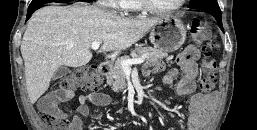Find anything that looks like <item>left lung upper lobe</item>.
I'll list each match as a JSON object with an SVG mask.
<instances>
[{"label":"left lung upper lobe","mask_w":257,"mask_h":130,"mask_svg":"<svg viewBox=\"0 0 257 130\" xmlns=\"http://www.w3.org/2000/svg\"><path fill=\"white\" fill-rule=\"evenodd\" d=\"M189 7L207 12H221L216 0H190Z\"/></svg>","instance_id":"5c2ea615"}]
</instances>
